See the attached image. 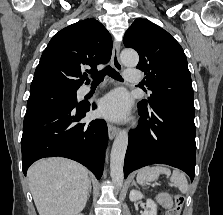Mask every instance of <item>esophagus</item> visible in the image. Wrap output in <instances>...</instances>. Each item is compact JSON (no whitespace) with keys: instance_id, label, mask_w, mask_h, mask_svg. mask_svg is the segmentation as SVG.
<instances>
[{"instance_id":"obj_1","label":"esophagus","mask_w":223,"mask_h":215,"mask_svg":"<svg viewBox=\"0 0 223 215\" xmlns=\"http://www.w3.org/2000/svg\"><path fill=\"white\" fill-rule=\"evenodd\" d=\"M119 52H120V43L115 41L112 49L111 64L116 70L122 71L123 65L119 60ZM107 126H108L109 138L110 140H112L118 134L119 128L116 127V125L111 124L110 122L107 123Z\"/></svg>"}]
</instances>
